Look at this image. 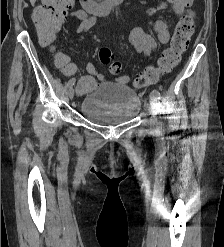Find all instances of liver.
I'll use <instances>...</instances> for the list:
<instances>
[{"label": "liver", "mask_w": 224, "mask_h": 247, "mask_svg": "<svg viewBox=\"0 0 224 247\" xmlns=\"http://www.w3.org/2000/svg\"><path fill=\"white\" fill-rule=\"evenodd\" d=\"M30 2H31V6H34L36 0H30Z\"/></svg>", "instance_id": "6515ba94"}]
</instances>
